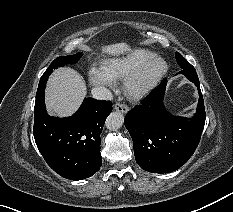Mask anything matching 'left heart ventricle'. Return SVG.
Listing matches in <instances>:
<instances>
[{
    "instance_id": "left-heart-ventricle-1",
    "label": "left heart ventricle",
    "mask_w": 233,
    "mask_h": 212,
    "mask_svg": "<svg viewBox=\"0 0 233 212\" xmlns=\"http://www.w3.org/2000/svg\"><path fill=\"white\" fill-rule=\"evenodd\" d=\"M158 65H154V66H152L150 69H149V71L147 72V74L145 75V80H147V79H149L155 72H156V70L158 69Z\"/></svg>"
}]
</instances>
